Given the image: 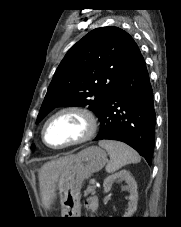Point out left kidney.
I'll list each match as a JSON object with an SVG mask.
<instances>
[{"label": "left kidney", "mask_w": 181, "mask_h": 227, "mask_svg": "<svg viewBox=\"0 0 181 227\" xmlns=\"http://www.w3.org/2000/svg\"><path fill=\"white\" fill-rule=\"evenodd\" d=\"M116 180H124L129 188V202L128 209L124 217H131L134 212L137 210L138 202V192H137V183L135 179L131 176L130 172L127 170H121L115 174L108 176L103 183L104 191L109 192L112 188V184Z\"/></svg>", "instance_id": "left-kidney-1"}]
</instances>
